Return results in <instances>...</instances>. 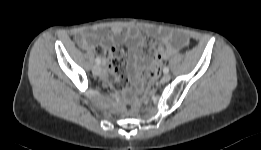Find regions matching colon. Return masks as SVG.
I'll return each instance as SVG.
<instances>
[{
  "label": "colon",
  "instance_id": "colon-1",
  "mask_svg": "<svg viewBox=\"0 0 261 150\" xmlns=\"http://www.w3.org/2000/svg\"><path fill=\"white\" fill-rule=\"evenodd\" d=\"M154 77V71L148 70L141 75L139 85L134 89L132 99L134 106H140L144 103L147 97V86L150 79Z\"/></svg>",
  "mask_w": 261,
  "mask_h": 150
}]
</instances>
